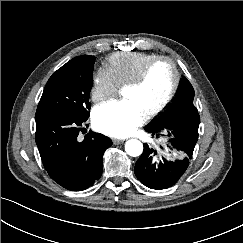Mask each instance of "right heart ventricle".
Returning <instances> with one entry per match:
<instances>
[{
  "instance_id": "1",
  "label": "right heart ventricle",
  "mask_w": 243,
  "mask_h": 243,
  "mask_svg": "<svg viewBox=\"0 0 243 243\" xmlns=\"http://www.w3.org/2000/svg\"><path fill=\"white\" fill-rule=\"evenodd\" d=\"M157 56L144 52H117L106 58L104 65L119 87H123L136 78L142 68Z\"/></svg>"
}]
</instances>
